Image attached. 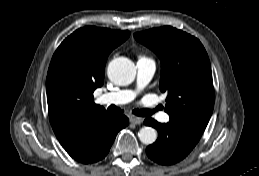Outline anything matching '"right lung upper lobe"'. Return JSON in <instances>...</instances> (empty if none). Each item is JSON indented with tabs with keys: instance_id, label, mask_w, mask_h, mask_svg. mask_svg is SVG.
<instances>
[{
	"instance_id": "obj_1",
	"label": "right lung upper lobe",
	"mask_w": 259,
	"mask_h": 176,
	"mask_svg": "<svg viewBox=\"0 0 259 176\" xmlns=\"http://www.w3.org/2000/svg\"><path fill=\"white\" fill-rule=\"evenodd\" d=\"M129 35L86 26L55 51L46 79L47 102L51 126L64 149L78 145L109 114L94 103L93 92L103 85L108 55Z\"/></svg>"
}]
</instances>
